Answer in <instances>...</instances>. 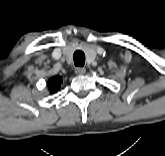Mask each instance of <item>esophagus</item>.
<instances>
[{
    "label": "esophagus",
    "instance_id": "1",
    "mask_svg": "<svg viewBox=\"0 0 165 156\" xmlns=\"http://www.w3.org/2000/svg\"><path fill=\"white\" fill-rule=\"evenodd\" d=\"M75 73H76L77 75H83V74L86 73V69L83 68V67H77V68H75Z\"/></svg>",
    "mask_w": 165,
    "mask_h": 156
}]
</instances>
